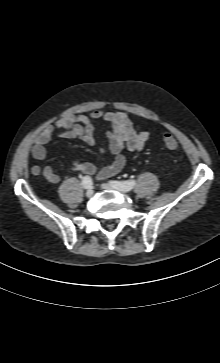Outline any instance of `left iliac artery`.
Listing matches in <instances>:
<instances>
[{
  "instance_id": "obj_1",
  "label": "left iliac artery",
  "mask_w": 220,
  "mask_h": 363,
  "mask_svg": "<svg viewBox=\"0 0 220 363\" xmlns=\"http://www.w3.org/2000/svg\"><path fill=\"white\" fill-rule=\"evenodd\" d=\"M136 184L135 180L111 181V185L125 192L130 191Z\"/></svg>"
}]
</instances>
